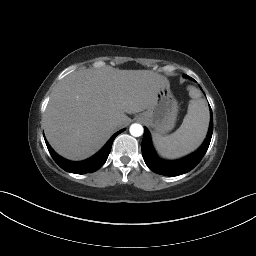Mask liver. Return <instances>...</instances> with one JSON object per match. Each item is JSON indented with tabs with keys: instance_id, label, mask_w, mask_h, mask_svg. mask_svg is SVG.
<instances>
[{
	"instance_id": "1",
	"label": "liver",
	"mask_w": 256,
	"mask_h": 256,
	"mask_svg": "<svg viewBox=\"0 0 256 256\" xmlns=\"http://www.w3.org/2000/svg\"><path fill=\"white\" fill-rule=\"evenodd\" d=\"M166 81L149 70L106 67L70 73L51 94L43 117L46 138L64 158L84 160L129 123L125 113L146 110Z\"/></svg>"
}]
</instances>
